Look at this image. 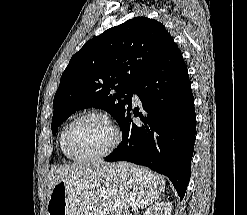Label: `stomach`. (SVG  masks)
I'll return each instance as SVG.
<instances>
[{"label": "stomach", "mask_w": 247, "mask_h": 215, "mask_svg": "<svg viewBox=\"0 0 247 215\" xmlns=\"http://www.w3.org/2000/svg\"><path fill=\"white\" fill-rule=\"evenodd\" d=\"M164 181L146 168L122 162L100 169L81 184L59 181L47 202V215H109L144 207L164 190Z\"/></svg>", "instance_id": "0dacf381"}]
</instances>
